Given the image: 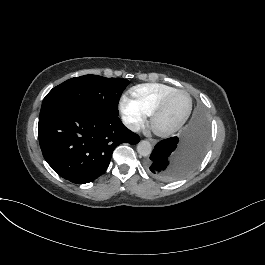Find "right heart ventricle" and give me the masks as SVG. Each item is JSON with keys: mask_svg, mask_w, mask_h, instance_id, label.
<instances>
[{"mask_svg": "<svg viewBox=\"0 0 265 265\" xmlns=\"http://www.w3.org/2000/svg\"><path fill=\"white\" fill-rule=\"evenodd\" d=\"M174 90V88L161 84H147L132 89L131 94L147 115L153 111L159 100Z\"/></svg>", "mask_w": 265, "mask_h": 265, "instance_id": "obj_1", "label": "right heart ventricle"}]
</instances>
